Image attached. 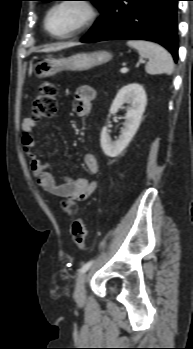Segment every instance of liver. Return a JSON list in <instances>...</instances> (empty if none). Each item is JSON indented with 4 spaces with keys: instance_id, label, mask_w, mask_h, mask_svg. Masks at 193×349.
I'll list each match as a JSON object with an SVG mask.
<instances>
[{
    "instance_id": "6515ba94",
    "label": "liver",
    "mask_w": 193,
    "mask_h": 349,
    "mask_svg": "<svg viewBox=\"0 0 193 349\" xmlns=\"http://www.w3.org/2000/svg\"><path fill=\"white\" fill-rule=\"evenodd\" d=\"M75 45H77V44L76 43H60V44H56L54 46L44 48L41 51L42 52H56V51H60L62 49L73 47Z\"/></svg>"
}]
</instances>
